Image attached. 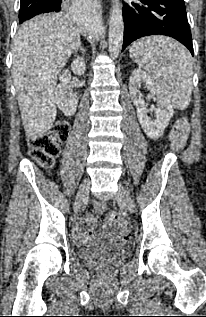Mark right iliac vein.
Instances as JSON below:
<instances>
[{
    "instance_id": "63e3f726",
    "label": "right iliac vein",
    "mask_w": 206,
    "mask_h": 317,
    "mask_svg": "<svg viewBox=\"0 0 206 317\" xmlns=\"http://www.w3.org/2000/svg\"><path fill=\"white\" fill-rule=\"evenodd\" d=\"M90 187V181L88 179L84 180L79 187L78 194L75 201V211H79L84 199L88 196Z\"/></svg>"
}]
</instances>
